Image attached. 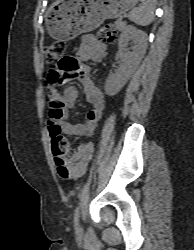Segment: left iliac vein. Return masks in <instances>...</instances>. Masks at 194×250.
I'll return each mask as SVG.
<instances>
[{
	"mask_svg": "<svg viewBox=\"0 0 194 250\" xmlns=\"http://www.w3.org/2000/svg\"><path fill=\"white\" fill-rule=\"evenodd\" d=\"M78 229H80V225H78Z\"/></svg>",
	"mask_w": 194,
	"mask_h": 250,
	"instance_id": "obj_1",
	"label": "left iliac vein"
}]
</instances>
